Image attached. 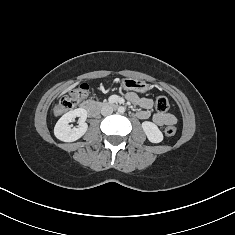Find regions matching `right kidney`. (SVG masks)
Returning <instances> with one entry per match:
<instances>
[{
	"label": "right kidney",
	"mask_w": 235,
	"mask_h": 235,
	"mask_svg": "<svg viewBox=\"0 0 235 235\" xmlns=\"http://www.w3.org/2000/svg\"><path fill=\"white\" fill-rule=\"evenodd\" d=\"M76 117H79L78 127L72 128L69 123ZM87 119V111L83 108H78L64 114L54 127V135L61 141L73 142L81 138L87 131L88 125L85 122Z\"/></svg>",
	"instance_id": "1"
}]
</instances>
